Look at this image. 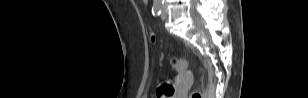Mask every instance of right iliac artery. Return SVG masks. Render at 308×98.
Returning <instances> with one entry per match:
<instances>
[{"label":"right iliac artery","instance_id":"obj_1","mask_svg":"<svg viewBox=\"0 0 308 98\" xmlns=\"http://www.w3.org/2000/svg\"><path fill=\"white\" fill-rule=\"evenodd\" d=\"M161 9H162V4L157 2V3H154L153 5V8H152V14L154 16H158L161 14Z\"/></svg>","mask_w":308,"mask_h":98}]
</instances>
